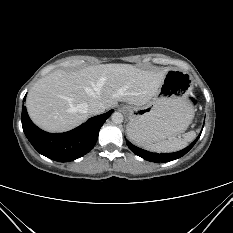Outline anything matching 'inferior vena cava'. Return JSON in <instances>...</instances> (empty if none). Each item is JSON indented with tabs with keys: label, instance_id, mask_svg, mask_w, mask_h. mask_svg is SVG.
Masks as SVG:
<instances>
[{
	"label": "inferior vena cava",
	"instance_id": "obj_1",
	"mask_svg": "<svg viewBox=\"0 0 233 233\" xmlns=\"http://www.w3.org/2000/svg\"><path fill=\"white\" fill-rule=\"evenodd\" d=\"M105 109L104 104L98 101H93L88 106V111L91 115L102 114L104 113Z\"/></svg>",
	"mask_w": 233,
	"mask_h": 233
}]
</instances>
